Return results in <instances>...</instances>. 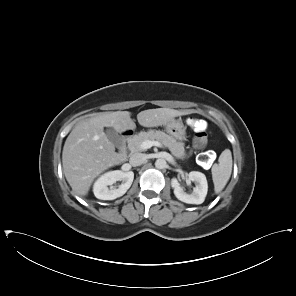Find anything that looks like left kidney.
<instances>
[{
	"label": "left kidney",
	"mask_w": 296,
	"mask_h": 296,
	"mask_svg": "<svg viewBox=\"0 0 296 296\" xmlns=\"http://www.w3.org/2000/svg\"><path fill=\"white\" fill-rule=\"evenodd\" d=\"M188 180L195 182L196 186L193 188V192L188 194L180 186L178 180L173 178L171 185L174 189L175 196L182 202L188 204H201L204 202L208 191V183L206 176L198 171H192L188 175Z\"/></svg>",
	"instance_id": "left-kidney-1"
}]
</instances>
